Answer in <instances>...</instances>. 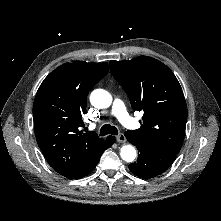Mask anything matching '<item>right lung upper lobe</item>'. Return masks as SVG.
I'll list each match as a JSON object with an SVG mask.
<instances>
[{
  "instance_id": "obj_1",
  "label": "right lung upper lobe",
  "mask_w": 221,
  "mask_h": 221,
  "mask_svg": "<svg viewBox=\"0 0 221 221\" xmlns=\"http://www.w3.org/2000/svg\"><path fill=\"white\" fill-rule=\"evenodd\" d=\"M107 73V63H65L37 91L33 104L37 143L50 166L67 178L75 177L104 146L103 138L83 133L80 127L87 95Z\"/></svg>"
}]
</instances>
